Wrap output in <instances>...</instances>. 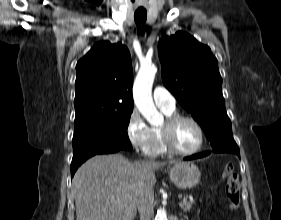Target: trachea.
I'll return each instance as SVG.
<instances>
[{
  "instance_id": "obj_1",
  "label": "trachea",
  "mask_w": 281,
  "mask_h": 220,
  "mask_svg": "<svg viewBox=\"0 0 281 220\" xmlns=\"http://www.w3.org/2000/svg\"><path fill=\"white\" fill-rule=\"evenodd\" d=\"M134 19L137 26L142 27L147 19V12L144 9H138L135 11Z\"/></svg>"
}]
</instances>
